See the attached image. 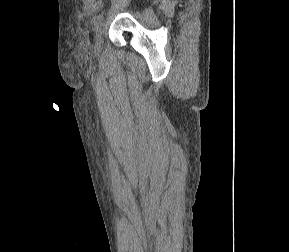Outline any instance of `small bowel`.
<instances>
[{"label":"small bowel","mask_w":289,"mask_h":252,"mask_svg":"<svg viewBox=\"0 0 289 252\" xmlns=\"http://www.w3.org/2000/svg\"><path fill=\"white\" fill-rule=\"evenodd\" d=\"M83 9L88 14L97 12L103 6V0H81Z\"/></svg>","instance_id":"small-bowel-1"}]
</instances>
